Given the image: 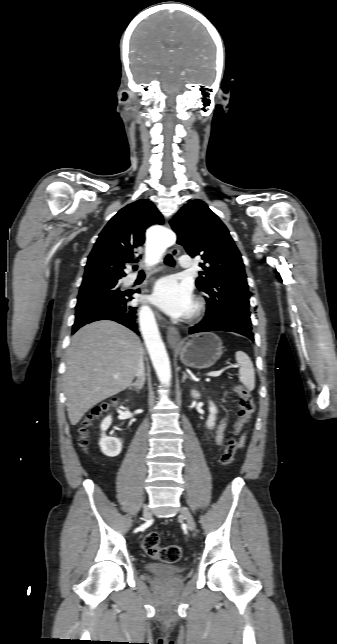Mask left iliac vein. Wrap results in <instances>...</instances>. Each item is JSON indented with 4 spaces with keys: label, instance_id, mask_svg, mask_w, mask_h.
Returning <instances> with one entry per match:
<instances>
[{
    "label": "left iliac vein",
    "instance_id": "obj_1",
    "mask_svg": "<svg viewBox=\"0 0 337 644\" xmlns=\"http://www.w3.org/2000/svg\"><path fill=\"white\" fill-rule=\"evenodd\" d=\"M181 513L183 517L186 519L187 525L189 529L194 530L195 529V523L193 521V518L190 514V512L186 508L181 509Z\"/></svg>",
    "mask_w": 337,
    "mask_h": 644
}]
</instances>
